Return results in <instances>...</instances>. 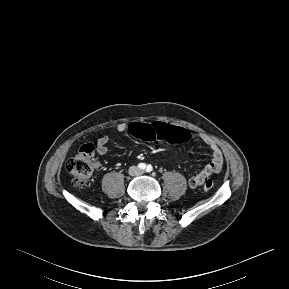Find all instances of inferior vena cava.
Wrapping results in <instances>:
<instances>
[{
  "instance_id": "602c4592",
  "label": "inferior vena cava",
  "mask_w": 289,
  "mask_h": 289,
  "mask_svg": "<svg viewBox=\"0 0 289 289\" xmlns=\"http://www.w3.org/2000/svg\"><path fill=\"white\" fill-rule=\"evenodd\" d=\"M141 173V171L140 170H138V172H136V174H140Z\"/></svg>"
}]
</instances>
